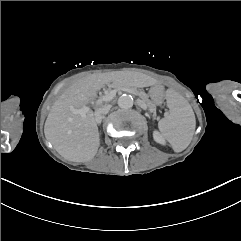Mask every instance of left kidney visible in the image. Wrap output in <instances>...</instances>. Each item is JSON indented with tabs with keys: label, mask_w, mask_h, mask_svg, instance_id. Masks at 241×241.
I'll return each mask as SVG.
<instances>
[{
	"label": "left kidney",
	"mask_w": 241,
	"mask_h": 241,
	"mask_svg": "<svg viewBox=\"0 0 241 241\" xmlns=\"http://www.w3.org/2000/svg\"><path fill=\"white\" fill-rule=\"evenodd\" d=\"M154 139L161 144L164 143V140H163L162 136L159 135L157 132L154 133Z\"/></svg>",
	"instance_id": "left-kidney-1"
}]
</instances>
